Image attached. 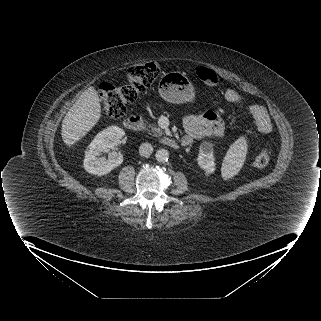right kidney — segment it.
<instances>
[{
  "mask_svg": "<svg viewBox=\"0 0 321 321\" xmlns=\"http://www.w3.org/2000/svg\"><path fill=\"white\" fill-rule=\"evenodd\" d=\"M125 132L118 126H111L96 135L85 152L84 168L87 172L102 176L123 162L121 153L110 152L108 158L98 157L101 152H107L117 145Z\"/></svg>",
  "mask_w": 321,
  "mask_h": 321,
  "instance_id": "right-kidney-1",
  "label": "right kidney"
}]
</instances>
